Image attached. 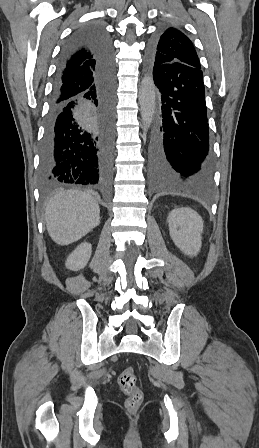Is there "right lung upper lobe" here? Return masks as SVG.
Masks as SVG:
<instances>
[{"label":"right lung upper lobe","instance_id":"cb5924a9","mask_svg":"<svg viewBox=\"0 0 259 448\" xmlns=\"http://www.w3.org/2000/svg\"><path fill=\"white\" fill-rule=\"evenodd\" d=\"M90 53L78 51L66 64L60 76L62 95L79 92L93 86L95 80V62Z\"/></svg>","mask_w":259,"mask_h":448}]
</instances>
